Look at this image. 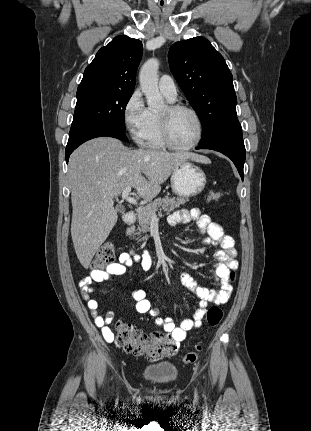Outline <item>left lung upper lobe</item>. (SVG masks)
Instances as JSON below:
<instances>
[{
	"instance_id": "5c2ea615",
	"label": "left lung upper lobe",
	"mask_w": 311,
	"mask_h": 431,
	"mask_svg": "<svg viewBox=\"0 0 311 431\" xmlns=\"http://www.w3.org/2000/svg\"><path fill=\"white\" fill-rule=\"evenodd\" d=\"M170 69L202 123L205 144L240 130L233 76L222 55L203 37L174 43L168 53Z\"/></svg>"
}]
</instances>
